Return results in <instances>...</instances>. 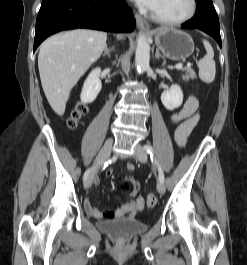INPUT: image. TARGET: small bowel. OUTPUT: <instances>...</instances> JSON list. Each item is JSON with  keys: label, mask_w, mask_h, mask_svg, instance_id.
Returning a JSON list of instances; mask_svg holds the SVG:
<instances>
[{"label": "small bowel", "mask_w": 247, "mask_h": 265, "mask_svg": "<svg viewBox=\"0 0 247 265\" xmlns=\"http://www.w3.org/2000/svg\"><path fill=\"white\" fill-rule=\"evenodd\" d=\"M198 107V99L194 95H189L181 109L170 116L171 122L179 123V126L175 131V140L179 147H184L186 145L187 139L200 120ZM127 167L129 170L134 169L132 163H129ZM107 175H110V171H107ZM95 184H98V180H95ZM144 206L145 201L142 196L129 200L115 210H101L94 206L88 198L84 200V207L87 213L98 219L109 220L124 216H135L138 212L144 209Z\"/></svg>", "instance_id": "c3829d8e"}]
</instances>
